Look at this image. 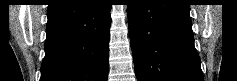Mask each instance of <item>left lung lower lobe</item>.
I'll list each match as a JSON object with an SVG mask.
<instances>
[{
    "instance_id": "1",
    "label": "left lung lower lobe",
    "mask_w": 237,
    "mask_h": 81,
    "mask_svg": "<svg viewBox=\"0 0 237 81\" xmlns=\"http://www.w3.org/2000/svg\"><path fill=\"white\" fill-rule=\"evenodd\" d=\"M127 9L138 81H204L186 0H132Z\"/></svg>"
}]
</instances>
